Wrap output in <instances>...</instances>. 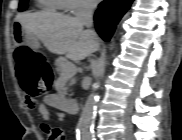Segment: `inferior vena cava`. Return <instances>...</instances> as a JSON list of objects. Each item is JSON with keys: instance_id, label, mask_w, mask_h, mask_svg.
I'll list each match as a JSON object with an SVG mask.
<instances>
[{"instance_id": "1", "label": "inferior vena cava", "mask_w": 182, "mask_h": 140, "mask_svg": "<svg viewBox=\"0 0 182 140\" xmlns=\"http://www.w3.org/2000/svg\"><path fill=\"white\" fill-rule=\"evenodd\" d=\"M97 7L95 0H82L79 5V10L76 15V19L87 27V31L90 33L93 40L97 39L93 26V12ZM96 51V50H94Z\"/></svg>"}]
</instances>
